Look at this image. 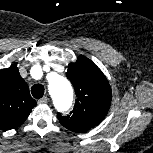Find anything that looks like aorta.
<instances>
[{
	"instance_id": "aorta-1",
	"label": "aorta",
	"mask_w": 153,
	"mask_h": 153,
	"mask_svg": "<svg viewBox=\"0 0 153 153\" xmlns=\"http://www.w3.org/2000/svg\"><path fill=\"white\" fill-rule=\"evenodd\" d=\"M48 87L55 106L62 110L68 109L73 99V90L69 81L61 75L52 74Z\"/></svg>"
}]
</instances>
